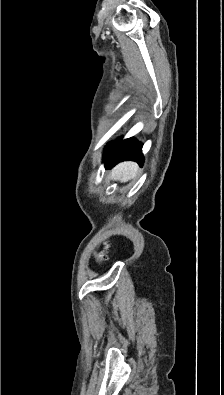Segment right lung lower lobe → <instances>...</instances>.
Instances as JSON below:
<instances>
[{"label":"right lung lower lobe","instance_id":"right-lung-lower-lobe-1","mask_svg":"<svg viewBox=\"0 0 224 395\" xmlns=\"http://www.w3.org/2000/svg\"><path fill=\"white\" fill-rule=\"evenodd\" d=\"M126 160L136 161L142 166L144 159L141 143L130 138L124 141L117 139L107 145L104 152V161L107 169Z\"/></svg>","mask_w":224,"mask_h":395}]
</instances>
